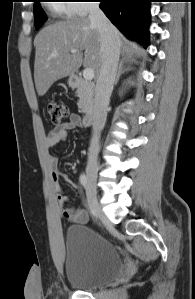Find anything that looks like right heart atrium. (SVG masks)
I'll use <instances>...</instances> for the list:
<instances>
[{
    "label": "right heart atrium",
    "mask_w": 195,
    "mask_h": 299,
    "mask_svg": "<svg viewBox=\"0 0 195 299\" xmlns=\"http://www.w3.org/2000/svg\"><path fill=\"white\" fill-rule=\"evenodd\" d=\"M91 2L93 0H71L64 4L68 5L70 14L87 15L92 10Z\"/></svg>",
    "instance_id": "1"
}]
</instances>
